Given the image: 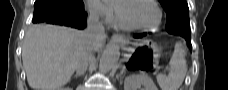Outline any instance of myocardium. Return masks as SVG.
Wrapping results in <instances>:
<instances>
[{"mask_svg":"<svg viewBox=\"0 0 228 90\" xmlns=\"http://www.w3.org/2000/svg\"><path fill=\"white\" fill-rule=\"evenodd\" d=\"M135 1H139V0H123L117 5V17H118L120 23L122 24V26L128 30H133V31H141V32L157 31L161 27V24L163 21V14H162V10H161L160 6L158 5V3L155 0H147L154 5V7L156 8L157 13H158V21L155 26H153V27L135 26V25L130 24L126 20V18L123 15V7L127 4L135 2Z\"/></svg>","mask_w":228,"mask_h":90,"instance_id":"1","label":"myocardium"}]
</instances>
